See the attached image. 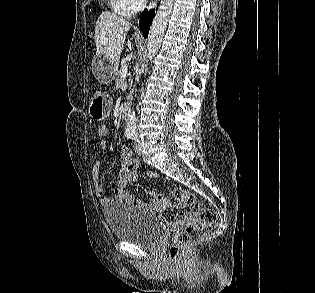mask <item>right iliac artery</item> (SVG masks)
Instances as JSON below:
<instances>
[{"label":"right iliac artery","instance_id":"1","mask_svg":"<svg viewBox=\"0 0 315 293\" xmlns=\"http://www.w3.org/2000/svg\"><path fill=\"white\" fill-rule=\"evenodd\" d=\"M126 136H127L128 139H132L133 133H127Z\"/></svg>","mask_w":315,"mask_h":293}]
</instances>
